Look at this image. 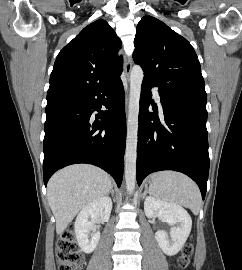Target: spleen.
Masks as SVG:
<instances>
[{
	"label": "spleen",
	"instance_id": "obj_1",
	"mask_svg": "<svg viewBox=\"0 0 242 270\" xmlns=\"http://www.w3.org/2000/svg\"><path fill=\"white\" fill-rule=\"evenodd\" d=\"M149 192L155 198L189 208L199 213L202 198L198 186L186 175L175 171L154 173Z\"/></svg>",
	"mask_w": 242,
	"mask_h": 270
}]
</instances>
